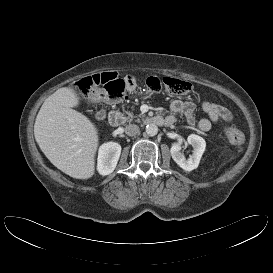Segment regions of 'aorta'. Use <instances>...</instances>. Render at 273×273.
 <instances>
[{
	"instance_id": "762f6f07",
	"label": "aorta",
	"mask_w": 273,
	"mask_h": 273,
	"mask_svg": "<svg viewBox=\"0 0 273 273\" xmlns=\"http://www.w3.org/2000/svg\"><path fill=\"white\" fill-rule=\"evenodd\" d=\"M146 133L148 136H155L158 133L157 125L151 123L146 126Z\"/></svg>"
}]
</instances>
